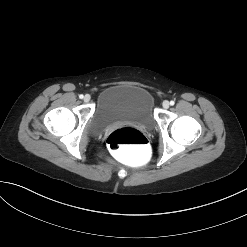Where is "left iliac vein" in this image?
Wrapping results in <instances>:
<instances>
[{
	"label": "left iliac vein",
	"instance_id": "1",
	"mask_svg": "<svg viewBox=\"0 0 247 247\" xmlns=\"http://www.w3.org/2000/svg\"><path fill=\"white\" fill-rule=\"evenodd\" d=\"M169 105H170V103L167 100L163 101V103H162V106L165 109L169 108Z\"/></svg>",
	"mask_w": 247,
	"mask_h": 247
}]
</instances>
